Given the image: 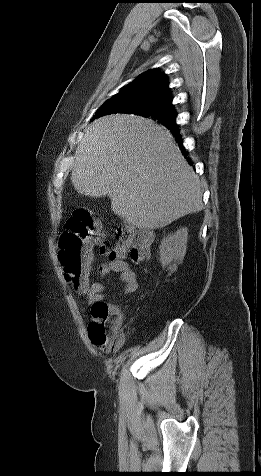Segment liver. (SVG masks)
Instances as JSON below:
<instances>
[{
  "label": "liver",
  "instance_id": "1",
  "mask_svg": "<svg viewBox=\"0 0 261 476\" xmlns=\"http://www.w3.org/2000/svg\"><path fill=\"white\" fill-rule=\"evenodd\" d=\"M71 181L80 194L108 195L113 212L138 228H163L203 209L199 177L169 131L135 115L104 116L85 129Z\"/></svg>",
  "mask_w": 261,
  "mask_h": 476
}]
</instances>
